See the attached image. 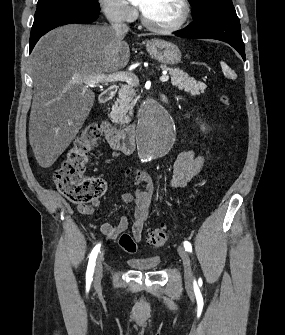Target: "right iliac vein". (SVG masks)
<instances>
[{
	"mask_svg": "<svg viewBox=\"0 0 285 335\" xmlns=\"http://www.w3.org/2000/svg\"><path fill=\"white\" fill-rule=\"evenodd\" d=\"M101 261H102V257L99 258L97 265H96V270H95V275H94L95 284H99L103 276V268H102Z\"/></svg>",
	"mask_w": 285,
	"mask_h": 335,
	"instance_id": "63e3f726",
	"label": "right iliac vein"
}]
</instances>
